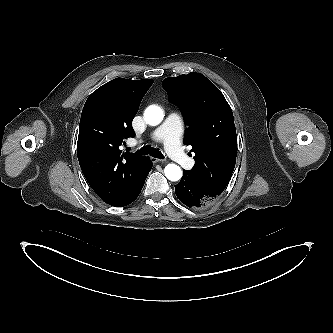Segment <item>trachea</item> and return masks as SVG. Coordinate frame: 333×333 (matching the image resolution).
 I'll list each match as a JSON object with an SVG mask.
<instances>
[{
    "label": "trachea",
    "mask_w": 333,
    "mask_h": 333,
    "mask_svg": "<svg viewBox=\"0 0 333 333\" xmlns=\"http://www.w3.org/2000/svg\"><path fill=\"white\" fill-rule=\"evenodd\" d=\"M136 153L137 154H141V155H148V154H150L152 157L159 158V159L164 158L163 154L159 150L153 149L149 145L143 146L142 148H140L139 150H137Z\"/></svg>",
    "instance_id": "obj_1"
}]
</instances>
